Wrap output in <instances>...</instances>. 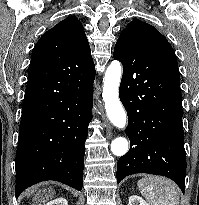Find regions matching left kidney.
Masks as SVG:
<instances>
[{
	"label": "left kidney",
	"instance_id": "obj_1",
	"mask_svg": "<svg viewBox=\"0 0 199 205\" xmlns=\"http://www.w3.org/2000/svg\"><path fill=\"white\" fill-rule=\"evenodd\" d=\"M128 205H149L142 197L138 195H132L129 197Z\"/></svg>",
	"mask_w": 199,
	"mask_h": 205
}]
</instances>
